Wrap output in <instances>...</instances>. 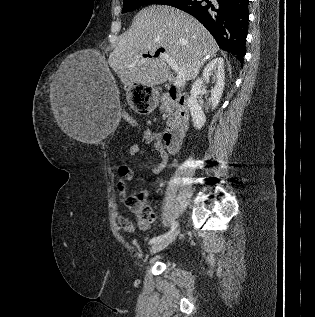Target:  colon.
<instances>
[{"label": "colon", "instance_id": "1", "mask_svg": "<svg viewBox=\"0 0 315 317\" xmlns=\"http://www.w3.org/2000/svg\"><path fill=\"white\" fill-rule=\"evenodd\" d=\"M124 119L133 127L137 126L136 120L130 115L126 114ZM126 205L136 217L138 225L141 227L148 226L154 220V213L152 209L143 201L140 196H130L126 199Z\"/></svg>", "mask_w": 315, "mask_h": 317}]
</instances>
